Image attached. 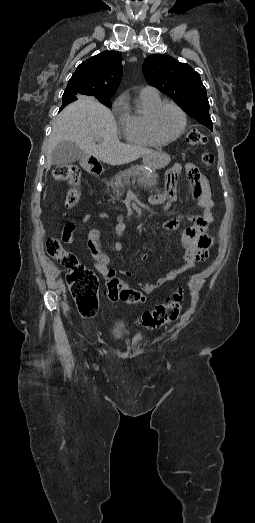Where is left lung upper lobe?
Returning <instances> with one entry per match:
<instances>
[{"mask_svg": "<svg viewBox=\"0 0 255 523\" xmlns=\"http://www.w3.org/2000/svg\"><path fill=\"white\" fill-rule=\"evenodd\" d=\"M143 72L149 85L171 97L188 115L212 131L206 88L196 71L169 56L152 55L145 59Z\"/></svg>", "mask_w": 255, "mask_h": 523, "instance_id": "1", "label": "left lung upper lobe"}]
</instances>
